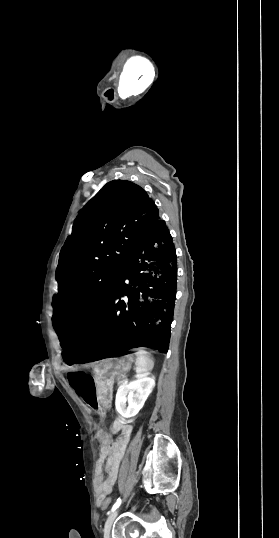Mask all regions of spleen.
I'll return each instance as SVG.
<instances>
[{
    "instance_id": "3e777b00",
    "label": "spleen",
    "mask_w": 279,
    "mask_h": 538,
    "mask_svg": "<svg viewBox=\"0 0 279 538\" xmlns=\"http://www.w3.org/2000/svg\"><path fill=\"white\" fill-rule=\"evenodd\" d=\"M135 356L137 358L136 370L138 374H147V372L153 370L154 362L149 352H145L144 348H138L135 352Z\"/></svg>"
}]
</instances>
